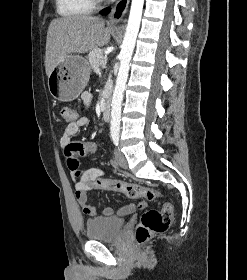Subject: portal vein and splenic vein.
<instances>
[{"instance_id": "18ae733b", "label": "portal vein and splenic vein", "mask_w": 247, "mask_h": 280, "mask_svg": "<svg viewBox=\"0 0 247 280\" xmlns=\"http://www.w3.org/2000/svg\"><path fill=\"white\" fill-rule=\"evenodd\" d=\"M106 65V62H102V66L104 67Z\"/></svg>"}]
</instances>
